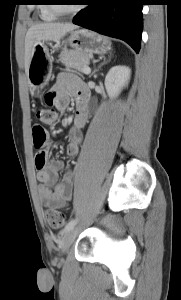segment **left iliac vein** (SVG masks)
Segmentation results:
<instances>
[{"label":"left iliac vein","mask_w":181,"mask_h":300,"mask_svg":"<svg viewBox=\"0 0 181 300\" xmlns=\"http://www.w3.org/2000/svg\"><path fill=\"white\" fill-rule=\"evenodd\" d=\"M76 234H77L76 227L71 228L69 231L65 233V235L61 240V248L64 252L70 248V246L75 240Z\"/></svg>","instance_id":"4c4485c4"}]
</instances>
